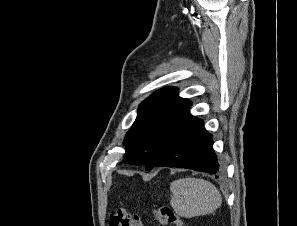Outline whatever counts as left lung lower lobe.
Returning <instances> with one entry per match:
<instances>
[{"instance_id":"1","label":"left lung lower lobe","mask_w":297,"mask_h":226,"mask_svg":"<svg viewBox=\"0 0 297 226\" xmlns=\"http://www.w3.org/2000/svg\"><path fill=\"white\" fill-rule=\"evenodd\" d=\"M212 145V136L203 127V121L190 115L154 167L188 168L218 178L222 171Z\"/></svg>"}]
</instances>
